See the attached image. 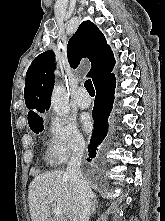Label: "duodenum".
<instances>
[{"mask_svg": "<svg viewBox=\"0 0 165 221\" xmlns=\"http://www.w3.org/2000/svg\"><path fill=\"white\" fill-rule=\"evenodd\" d=\"M47 221H58L56 219H47Z\"/></svg>", "mask_w": 165, "mask_h": 221, "instance_id": "obj_1", "label": "duodenum"}]
</instances>
